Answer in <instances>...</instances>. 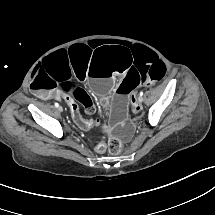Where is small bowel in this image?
<instances>
[{
	"label": "small bowel",
	"mask_w": 215,
	"mask_h": 215,
	"mask_svg": "<svg viewBox=\"0 0 215 215\" xmlns=\"http://www.w3.org/2000/svg\"><path fill=\"white\" fill-rule=\"evenodd\" d=\"M60 96L66 101V99L68 98V97H70L69 96V94H66V93H62V94H60ZM89 122V124H90V127L89 128H92V127H95V126H97L98 125V122H96V121H88ZM97 151L99 152V153H103L104 151H105V148H103V147H97Z\"/></svg>",
	"instance_id": "small-bowel-1"
}]
</instances>
